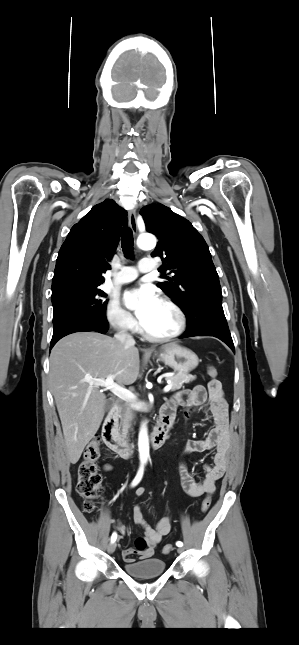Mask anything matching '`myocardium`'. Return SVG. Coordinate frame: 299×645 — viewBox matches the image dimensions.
<instances>
[{
  "label": "myocardium",
  "mask_w": 299,
  "mask_h": 645,
  "mask_svg": "<svg viewBox=\"0 0 299 645\" xmlns=\"http://www.w3.org/2000/svg\"><path fill=\"white\" fill-rule=\"evenodd\" d=\"M160 302L168 306L176 315L177 317V326L175 330L171 333L168 334H163V335H154L149 332H147L143 326L140 327V333L142 334L143 337L146 339L153 341V342H165V341H170L173 340L179 336H181L184 331L186 330L187 327V318L182 310V308L175 303L173 300L170 298L163 296L160 298Z\"/></svg>",
  "instance_id": "f54148a6"
}]
</instances>
